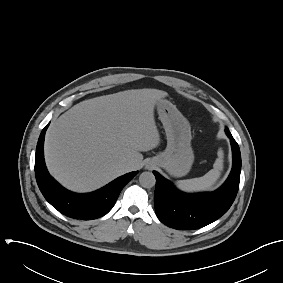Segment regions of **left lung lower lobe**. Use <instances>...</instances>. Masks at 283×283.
Returning a JSON list of instances; mask_svg holds the SVG:
<instances>
[{"label":"left lung lower lobe","mask_w":283,"mask_h":283,"mask_svg":"<svg viewBox=\"0 0 283 283\" xmlns=\"http://www.w3.org/2000/svg\"><path fill=\"white\" fill-rule=\"evenodd\" d=\"M226 134L232 146L233 166L228 179L218 190L185 194L154 171L157 179L154 205L156 215L162 223L178 230L198 229L214 222L228 211L239 188L241 154L231 133Z\"/></svg>","instance_id":"obj_1"}]
</instances>
